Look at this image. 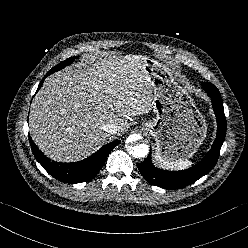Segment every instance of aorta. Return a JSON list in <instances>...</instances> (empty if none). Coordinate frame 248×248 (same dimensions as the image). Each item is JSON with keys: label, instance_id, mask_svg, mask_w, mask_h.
Instances as JSON below:
<instances>
[{"label": "aorta", "instance_id": "1", "mask_svg": "<svg viewBox=\"0 0 248 248\" xmlns=\"http://www.w3.org/2000/svg\"><path fill=\"white\" fill-rule=\"evenodd\" d=\"M140 136L135 134V135H131L128 138V142H130V144L127 145V151L130 155H132L135 158H144L145 156H147L148 152H149V146L147 144H133L132 142L139 140Z\"/></svg>", "mask_w": 248, "mask_h": 248}]
</instances>
